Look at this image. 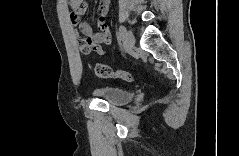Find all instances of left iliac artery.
<instances>
[{"label":"left iliac artery","mask_w":239,"mask_h":156,"mask_svg":"<svg viewBox=\"0 0 239 156\" xmlns=\"http://www.w3.org/2000/svg\"><path fill=\"white\" fill-rule=\"evenodd\" d=\"M125 32H126L125 27L120 26V28H119V40H122L124 38Z\"/></svg>","instance_id":"left-iliac-artery-1"}]
</instances>
